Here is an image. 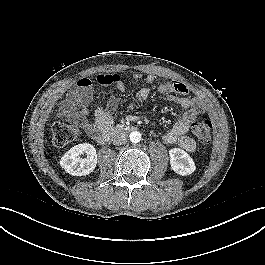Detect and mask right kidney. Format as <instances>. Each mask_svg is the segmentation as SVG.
<instances>
[{"label": "right kidney", "mask_w": 265, "mask_h": 265, "mask_svg": "<svg viewBox=\"0 0 265 265\" xmlns=\"http://www.w3.org/2000/svg\"><path fill=\"white\" fill-rule=\"evenodd\" d=\"M87 154L86 158L80 156ZM97 165L96 149L88 143L78 144L68 150L60 160V166L70 175L85 176Z\"/></svg>", "instance_id": "1"}]
</instances>
